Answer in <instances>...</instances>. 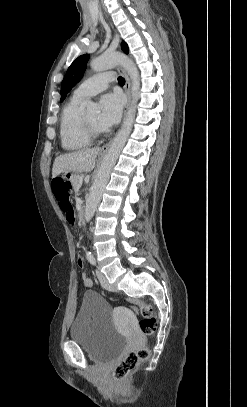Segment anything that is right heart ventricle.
<instances>
[{
	"label": "right heart ventricle",
	"instance_id": "obj_1",
	"mask_svg": "<svg viewBox=\"0 0 247 407\" xmlns=\"http://www.w3.org/2000/svg\"><path fill=\"white\" fill-rule=\"evenodd\" d=\"M83 101L73 96L62 108L59 133L66 151H78L91 144L92 139L85 134L81 124Z\"/></svg>",
	"mask_w": 247,
	"mask_h": 407
}]
</instances>
